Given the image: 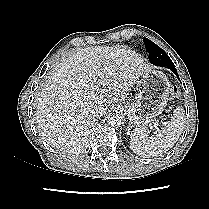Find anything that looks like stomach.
Listing matches in <instances>:
<instances>
[{
	"instance_id": "1",
	"label": "stomach",
	"mask_w": 209,
	"mask_h": 209,
	"mask_svg": "<svg viewBox=\"0 0 209 209\" xmlns=\"http://www.w3.org/2000/svg\"><path fill=\"white\" fill-rule=\"evenodd\" d=\"M142 89L135 103L126 105L131 126L141 128L153 121L167 106L170 93L168 77L161 71L150 70L142 74Z\"/></svg>"
}]
</instances>
